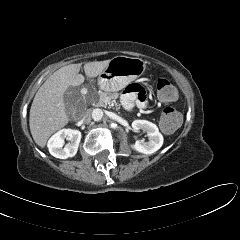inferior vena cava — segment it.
Returning a JSON list of instances; mask_svg holds the SVG:
<instances>
[{
	"instance_id": "602c4592",
	"label": "inferior vena cava",
	"mask_w": 240,
	"mask_h": 240,
	"mask_svg": "<svg viewBox=\"0 0 240 240\" xmlns=\"http://www.w3.org/2000/svg\"><path fill=\"white\" fill-rule=\"evenodd\" d=\"M82 121H83L84 123H90V122H91L90 112L87 111V112L83 115Z\"/></svg>"
}]
</instances>
